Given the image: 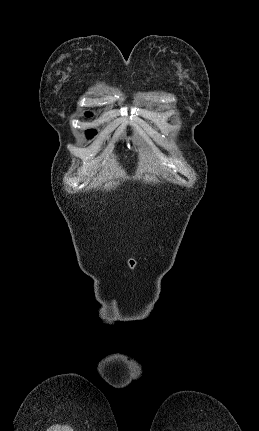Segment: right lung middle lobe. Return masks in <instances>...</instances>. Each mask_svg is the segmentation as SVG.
Here are the masks:
<instances>
[{"label":"right lung middle lobe","instance_id":"obj_1","mask_svg":"<svg viewBox=\"0 0 259 431\" xmlns=\"http://www.w3.org/2000/svg\"><path fill=\"white\" fill-rule=\"evenodd\" d=\"M86 115L87 116H91L92 114L91 113H86ZM86 133H87L88 137H91V136H93V135L96 134V131H94V130H88Z\"/></svg>","mask_w":259,"mask_h":431}]
</instances>
